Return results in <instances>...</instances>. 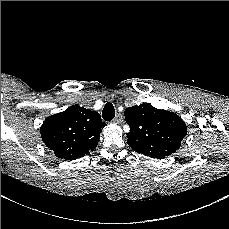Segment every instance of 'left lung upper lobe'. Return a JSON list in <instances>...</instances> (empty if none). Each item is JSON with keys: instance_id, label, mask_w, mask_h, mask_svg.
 Segmentation results:
<instances>
[{"instance_id": "1", "label": "left lung upper lobe", "mask_w": 229, "mask_h": 229, "mask_svg": "<svg viewBox=\"0 0 229 229\" xmlns=\"http://www.w3.org/2000/svg\"><path fill=\"white\" fill-rule=\"evenodd\" d=\"M130 126L127 142L136 152L152 158H164L176 152L187 134L185 122L177 114L151 104L126 108Z\"/></svg>"}]
</instances>
